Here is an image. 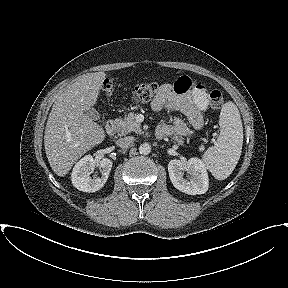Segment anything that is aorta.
Returning <instances> with one entry per match:
<instances>
[{
  "instance_id": "762f6f07",
  "label": "aorta",
  "mask_w": 288,
  "mask_h": 288,
  "mask_svg": "<svg viewBox=\"0 0 288 288\" xmlns=\"http://www.w3.org/2000/svg\"><path fill=\"white\" fill-rule=\"evenodd\" d=\"M140 154L148 155L151 152V145L149 143H143L139 147Z\"/></svg>"
}]
</instances>
